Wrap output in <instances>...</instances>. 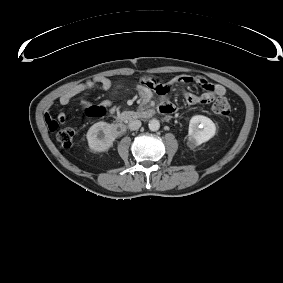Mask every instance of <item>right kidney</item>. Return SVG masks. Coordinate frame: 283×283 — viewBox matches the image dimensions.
<instances>
[{
	"mask_svg": "<svg viewBox=\"0 0 283 283\" xmlns=\"http://www.w3.org/2000/svg\"><path fill=\"white\" fill-rule=\"evenodd\" d=\"M89 148L96 152L107 151L116 138L112 126L104 121L92 125L86 134Z\"/></svg>",
	"mask_w": 283,
	"mask_h": 283,
	"instance_id": "obj_1",
	"label": "right kidney"
}]
</instances>
